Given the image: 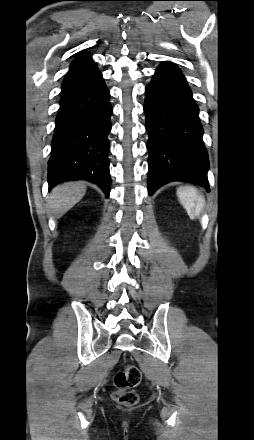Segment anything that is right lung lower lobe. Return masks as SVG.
Segmentation results:
<instances>
[{"instance_id":"obj_1","label":"right lung lower lobe","mask_w":254,"mask_h":440,"mask_svg":"<svg viewBox=\"0 0 254 440\" xmlns=\"http://www.w3.org/2000/svg\"><path fill=\"white\" fill-rule=\"evenodd\" d=\"M109 91L92 60L69 70L61 91L60 108L48 162L49 189L71 180H87L109 197Z\"/></svg>"}]
</instances>
